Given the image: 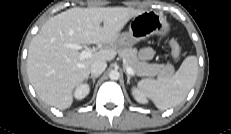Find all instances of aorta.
<instances>
[{"mask_svg": "<svg viewBox=\"0 0 231 134\" xmlns=\"http://www.w3.org/2000/svg\"><path fill=\"white\" fill-rule=\"evenodd\" d=\"M119 77H120V74H119L118 71H116V70L110 71V73H109V78H110L111 80H118Z\"/></svg>", "mask_w": 231, "mask_h": 134, "instance_id": "1", "label": "aorta"}]
</instances>
